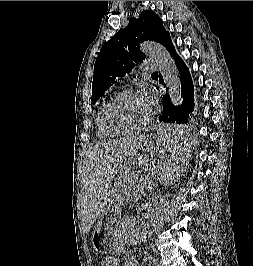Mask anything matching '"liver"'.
Wrapping results in <instances>:
<instances>
[{
    "label": "liver",
    "mask_w": 253,
    "mask_h": 266,
    "mask_svg": "<svg viewBox=\"0 0 253 266\" xmlns=\"http://www.w3.org/2000/svg\"><path fill=\"white\" fill-rule=\"evenodd\" d=\"M145 136L120 138L91 147L84 163L83 222L85 232H89L100 213L103 212L108 197L109 181L118 163L131 153Z\"/></svg>",
    "instance_id": "1"
}]
</instances>
